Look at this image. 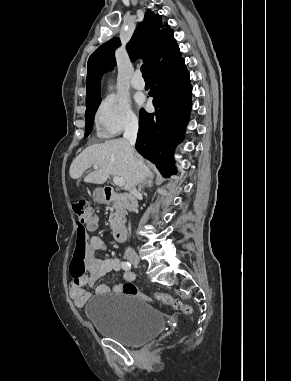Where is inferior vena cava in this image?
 <instances>
[{
	"label": "inferior vena cava",
	"mask_w": 291,
	"mask_h": 381,
	"mask_svg": "<svg viewBox=\"0 0 291 381\" xmlns=\"http://www.w3.org/2000/svg\"><path fill=\"white\" fill-rule=\"evenodd\" d=\"M138 122H130L125 128L124 138L129 142L130 146L133 148L136 143L137 133H138ZM131 193L135 195L137 190L135 187L132 188ZM134 253L131 248H127L126 254Z\"/></svg>",
	"instance_id": "1"
}]
</instances>
